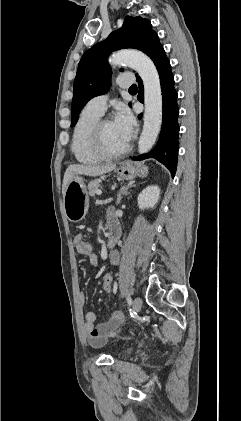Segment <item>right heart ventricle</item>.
Listing matches in <instances>:
<instances>
[{"label":"right heart ventricle","instance_id":"obj_1","mask_svg":"<svg viewBox=\"0 0 241 421\" xmlns=\"http://www.w3.org/2000/svg\"><path fill=\"white\" fill-rule=\"evenodd\" d=\"M101 114L86 106L80 113L72 134L71 150L75 159L82 164H97L103 159L92 148L91 137Z\"/></svg>","mask_w":241,"mask_h":421}]
</instances>
